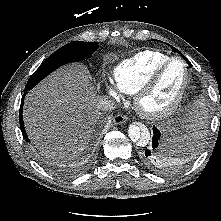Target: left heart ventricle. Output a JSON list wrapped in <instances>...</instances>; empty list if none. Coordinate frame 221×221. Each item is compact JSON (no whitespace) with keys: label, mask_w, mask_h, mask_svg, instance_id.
Listing matches in <instances>:
<instances>
[{"label":"left heart ventricle","mask_w":221,"mask_h":221,"mask_svg":"<svg viewBox=\"0 0 221 221\" xmlns=\"http://www.w3.org/2000/svg\"><path fill=\"white\" fill-rule=\"evenodd\" d=\"M184 67L181 62H173L153 92L143 101V107L147 110L161 109L170 104L178 95L184 82Z\"/></svg>","instance_id":"1"}]
</instances>
